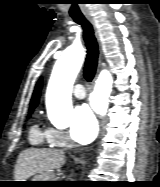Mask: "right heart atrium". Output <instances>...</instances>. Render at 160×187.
<instances>
[{"label": "right heart atrium", "instance_id": "right-heart-atrium-1", "mask_svg": "<svg viewBox=\"0 0 160 187\" xmlns=\"http://www.w3.org/2000/svg\"><path fill=\"white\" fill-rule=\"evenodd\" d=\"M47 142L53 147H69L71 146V141L69 135L55 128H48L45 131Z\"/></svg>", "mask_w": 160, "mask_h": 187}]
</instances>
